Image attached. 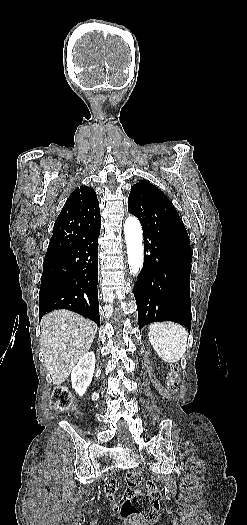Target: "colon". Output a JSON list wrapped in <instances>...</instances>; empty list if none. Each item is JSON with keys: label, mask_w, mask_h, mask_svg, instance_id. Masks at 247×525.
<instances>
[{"label": "colon", "mask_w": 247, "mask_h": 525, "mask_svg": "<svg viewBox=\"0 0 247 525\" xmlns=\"http://www.w3.org/2000/svg\"><path fill=\"white\" fill-rule=\"evenodd\" d=\"M167 385L173 390L178 385V366L172 365L167 376ZM53 406L62 412L74 410L73 397L62 385L54 388L52 395ZM131 487L122 497L120 515L126 519L139 520L148 524L157 522L160 516L159 501L161 492L156 483L142 481L139 473L130 471L125 477Z\"/></svg>", "instance_id": "obj_1"}]
</instances>
